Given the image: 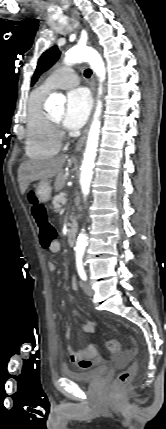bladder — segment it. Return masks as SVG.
<instances>
[{
    "instance_id": "1",
    "label": "bladder",
    "mask_w": 166,
    "mask_h": 429,
    "mask_svg": "<svg viewBox=\"0 0 166 429\" xmlns=\"http://www.w3.org/2000/svg\"><path fill=\"white\" fill-rule=\"evenodd\" d=\"M107 372H108V366L94 367L86 371H77L74 369L65 368L62 371L64 376L78 383L94 382L102 378L103 376H105Z\"/></svg>"
}]
</instances>
